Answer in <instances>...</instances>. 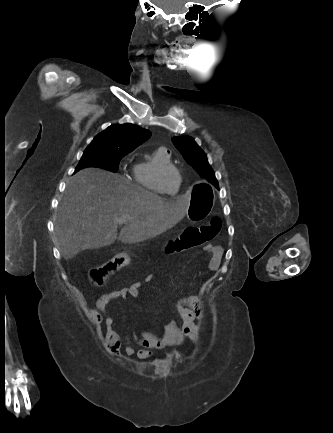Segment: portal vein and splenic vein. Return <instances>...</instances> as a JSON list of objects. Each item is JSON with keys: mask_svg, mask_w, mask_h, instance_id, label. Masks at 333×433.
<instances>
[{"mask_svg": "<svg viewBox=\"0 0 333 433\" xmlns=\"http://www.w3.org/2000/svg\"><path fill=\"white\" fill-rule=\"evenodd\" d=\"M129 218L128 215L122 214L121 217L118 219L119 223L125 222Z\"/></svg>", "mask_w": 333, "mask_h": 433, "instance_id": "obj_1", "label": "portal vein and splenic vein"}]
</instances>
